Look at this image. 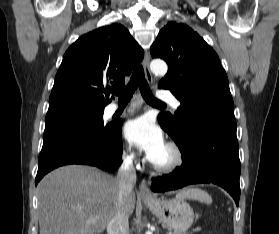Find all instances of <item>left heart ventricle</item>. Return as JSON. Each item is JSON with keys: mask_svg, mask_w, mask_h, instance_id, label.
Masks as SVG:
<instances>
[{"mask_svg": "<svg viewBox=\"0 0 279 234\" xmlns=\"http://www.w3.org/2000/svg\"><path fill=\"white\" fill-rule=\"evenodd\" d=\"M168 158H169V152L165 148L153 161L157 163H162L168 160Z\"/></svg>", "mask_w": 279, "mask_h": 234, "instance_id": "obj_1", "label": "left heart ventricle"}]
</instances>
